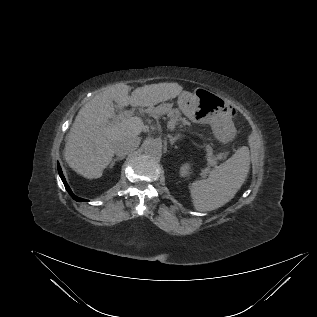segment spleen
Returning <instances> with one entry per match:
<instances>
[{"label":"spleen","mask_w":317,"mask_h":317,"mask_svg":"<svg viewBox=\"0 0 317 317\" xmlns=\"http://www.w3.org/2000/svg\"><path fill=\"white\" fill-rule=\"evenodd\" d=\"M249 166V149L242 146L226 162L210 171L207 179L194 181L190 193L195 209L212 211L229 202L244 183Z\"/></svg>","instance_id":"obj_1"}]
</instances>
